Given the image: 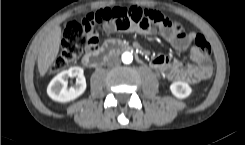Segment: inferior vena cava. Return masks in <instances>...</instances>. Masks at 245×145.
<instances>
[{"mask_svg": "<svg viewBox=\"0 0 245 145\" xmlns=\"http://www.w3.org/2000/svg\"><path fill=\"white\" fill-rule=\"evenodd\" d=\"M120 64V60L118 57H112L108 61L109 66H118Z\"/></svg>", "mask_w": 245, "mask_h": 145, "instance_id": "inferior-vena-cava-1", "label": "inferior vena cava"}]
</instances>
